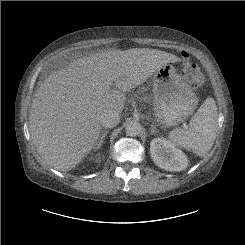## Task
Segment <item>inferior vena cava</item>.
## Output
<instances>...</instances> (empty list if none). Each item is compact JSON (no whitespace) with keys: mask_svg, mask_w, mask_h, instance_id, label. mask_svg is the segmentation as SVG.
Instances as JSON below:
<instances>
[{"mask_svg":"<svg viewBox=\"0 0 245 245\" xmlns=\"http://www.w3.org/2000/svg\"><path fill=\"white\" fill-rule=\"evenodd\" d=\"M99 119L103 127L112 128L119 123L120 115L115 110L107 109L100 114Z\"/></svg>","mask_w":245,"mask_h":245,"instance_id":"602c4592","label":"inferior vena cava"}]
</instances>
